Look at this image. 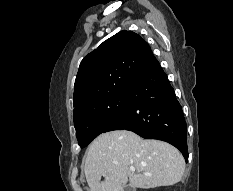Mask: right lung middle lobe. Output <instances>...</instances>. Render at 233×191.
<instances>
[{
	"label": "right lung middle lobe",
	"mask_w": 233,
	"mask_h": 191,
	"mask_svg": "<svg viewBox=\"0 0 233 191\" xmlns=\"http://www.w3.org/2000/svg\"><path fill=\"white\" fill-rule=\"evenodd\" d=\"M128 102L126 93L103 100L75 114L74 126L80 147H86L101 134L109 123L125 111Z\"/></svg>",
	"instance_id": "1"
}]
</instances>
